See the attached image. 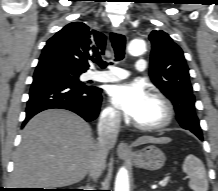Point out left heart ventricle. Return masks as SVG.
Here are the masks:
<instances>
[{
  "instance_id": "obj_1",
  "label": "left heart ventricle",
  "mask_w": 218,
  "mask_h": 191,
  "mask_svg": "<svg viewBox=\"0 0 218 191\" xmlns=\"http://www.w3.org/2000/svg\"><path fill=\"white\" fill-rule=\"evenodd\" d=\"M164 114L162 104L152 97H149L147 103L135 121L143 125L156 124L163 120Z\"/></svg>"
}]
</instances>
